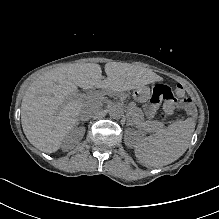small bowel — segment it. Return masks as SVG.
<instances>
[{
  "label": "small bowel",
  "mask_w": 219,
  "mask_h": 219,
  "mask_svg": "<svg viewBox=\"0 0 219 219\" xmlns=\"http://www.w3.org/2000/svg\"><path fill=\"white\" fill-rule=\"evenodd\" d=\"M172 97L171 90L166 85H158L154 90V95L151 102L146 106L145 112L148 117H153L157 112L160 103L163 100H168ZM180 106L187 112L192 113L194 108L190 101L180 102Z\"/></svg>",
  "instance_id": "obj_1"
}]
</instances>
